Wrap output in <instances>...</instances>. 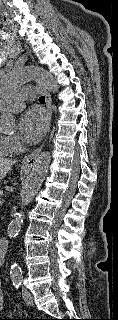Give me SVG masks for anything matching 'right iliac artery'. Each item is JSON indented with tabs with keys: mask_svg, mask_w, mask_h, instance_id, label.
Returning <instances> with one entry per match:
<instances>
[{
	"mask_svg": "<svg viewBox=\"0 0 118 320\" xmlns=\"http://www.w3.org/2000/svg\"><path fill=\"white\" fill-rule=\"evenodd\" d=\"M20 285H21V281H19V280L13 281V286H14L16 289H18V288L20 287Z\"/></svg>",
	"mask_w": 118,
	"mask_h": 320,
	"instance_id": "1",
	"label": "right iliac artery"
}]
</instances>
